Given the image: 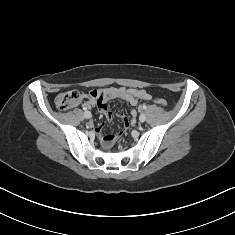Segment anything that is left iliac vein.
I'll list each match as a JSON object with an SVG mask.
<instances>
[{
  "mask_svg": "<svg viewBox=\"0 0 235 235\" xmlns=\"http://www.w3.org/2000/svg\"><path fill=\"white\" fill-rule=\"evenodd\" d=\"M146 120V116L144 114H141L139 117L140 122H144Z\"/></svg>",
  "mask_w": 235,
  "mask_h": 235,
  "instance_id": "4c4485c4",
  "label": "left iliac vein"
}]
</instances>
